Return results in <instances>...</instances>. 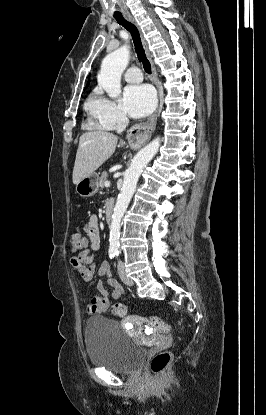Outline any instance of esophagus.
Returning a JSON list of instances; mask_svg holds the SVG:
<instances>
[{
  "label": "esophagus",
  "mask_w": 266,
  "mask_h": 415,
  "mask_svg": "<svg viewBox=\"0 0 266 415\" xmlns=\"http://www.w3.org/2000/svg\"><path fill=\"white\" fill-rule=\"evenodd\" d=\"M126 18L131 23H133L138 28V30L140 32V36H141V39H142L143 47L145 49V53H146V55H147V57L150 61V64H151L152 81H153V83L155 84V86L157 88L158 101H159L160 89H159L157 71H156V67H155V64L153 62L152 54L149 50L147 41L143 37V34H142L136 20L134 19V17L130 14H126ZM157 113H158V106H157L156 110L154 111V113L150 116V118L146 122L135 124L129 129V131L127 133V139H128V142L131 146H141V145L145 144L151 138V135H152V133L155 130V127H156Z\"/></svg>",
  "instance_id": "obj_1"
}]
</instances>
